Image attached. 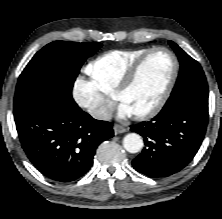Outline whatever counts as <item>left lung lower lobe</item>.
<instances>
[{"label": "left lung lower lobe", "instance_id": "obj_1", "mask_svg": "<svg viewBox=\"0 0 222 219\" xmlns=\"http://www.w3.org/2000/svg\"><path fill=\"white\" fill-rule=\"evenodd\" d=\"M208 122V103L190 97L167 102L151 121L132 126L146 147L133 161L134 168L151 178L183 169L197 153Z\"/></svg>", "mask_w": 222, "mask_h": 219}]
</instances>
